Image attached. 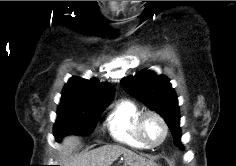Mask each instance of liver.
<instances>
[{
  "label": "liver",
  "instance_id": "obj_1",
  "mask_svg": "<svg viewBox=\"0 0 236 166\" xmlns=\"http://www.w3.org/2000/svg\"><path fill=\"white\" fill-rule=\"evenodd\" d=\"M79 143V138L76 136H67L63 139L60 152L63 166H110L121 155L124 156V160H127L124 165L151 166L154 164L119 145H105L74 157L71 156Z\"/></svg>",
  "mask_w": 236,
  "mask_h": 166
}]
</instances>
